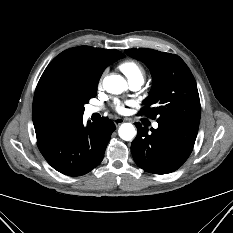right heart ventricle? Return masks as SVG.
Segmentation results:
<instances>
[{"instance_id":"1","label":"right heart ventricle","mask_w":233,"mask_h":233,"mask_svg":"<svg viewBox=\"0 0 233 233\" xmlns=\"http://www.w3.org/2000/svg\"><path fill=\"white\" fill-rule=\"evenodd\" d=\"M119 69L125 74L128 81L142 80L144 81L145 69L141 64L133 60L123 61L119 65Z\"/></svg>"}]
</instances>
